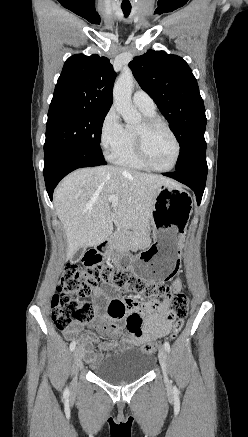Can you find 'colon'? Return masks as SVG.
<instances>
[{
    "instance_id": "colon-1",
    "label": "colon",
    "mask_w": 248,
    "mask_h": 437,
    "mask_svg": "<svg viewBox=\"0 0 248 437\" xmlns=\"http://www.w3.org/2000/svg\"><path fill=\"white\" fill-rule=\"evenodd\" d=\"M103 257L86 255L79 264L70 263L59 279L57 292L52 299V320L60 330L73 325L91 324L96 318V306L91 300L93 289L100 283L113 285L128 291L132 296L155 300L163 298L169 304V318L173 320L169 339L173 340L181 331L188 313L189 302L186 295L168 286H144V279H136L127 272L105 265ZM160 342H146L141 350L154 353Z\"/></svg>"
}]
</instances>
